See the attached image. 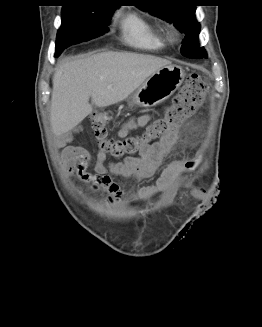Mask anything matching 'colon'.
I'll list each match as a JSON object with an SVG mask.
<instances>
[{
    "instance_id": "1",
    "label": "colon",
    "mask_w": 262,
    "mask_h": 327,
    "mask_svg": "<svg viewBox=\"0 0 262 327\" xmlns=\"http://www.w3.org/2000/svg\"><path fill=\"white\" fill-rule=\"evenodd\" d=\"M207 91V84L198 75L190 76L163 114L154 120L143 134L136 136L110 138L107 131L111 121L110 113L91 114L89 121L99 149L116 159L132 158L140 154L151 144L173 133L188 120L203 104Z\"/></svg>"
}]
</instances>
